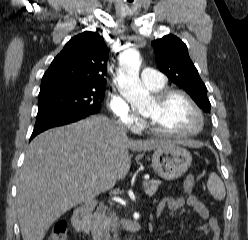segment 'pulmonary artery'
Returning a JSON list of instances; mask_svg holds the SVG:
<instances>
[{
  "mask_svg": "<svg viewBox=\"0 0 248 240\" xmlns=\"http://www.w3.org/2000/svg\"><path fill=\"white\" fill-rule=\"evenodd\" d=\"M141 80L149 88L160 87L166 83V79L163 74L151 68L142 69Z\"/></svg>",
  "mask_w": 248,
  "mask_h": 240,
  "instance_id": "e3ab8cb5",
  "label": "pulmonary artery"
}]
</instances>
